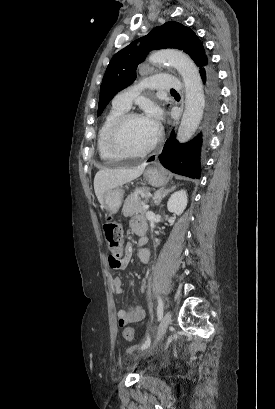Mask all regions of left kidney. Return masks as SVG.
Returning a JSON list of instances; mask_svg holds the SVG:
<instances>
[{
  "label": "left kidney",
  "mask_w": 275,
  "mask_h": 409,
  "mask_svg": "<svg viewBox=\"0 0 275 409\" xmlns=\"http://www.w3.org/2000/svg\"><path fill=\"white\" fill-rule=\"evenodd\" d=\"M187 205V194L186 190H177L174 194H171L168 202L167 209L169 213H176V215H181Z\"/></svg>",
  "instance_id": "obj_1"
}]
</instances>
